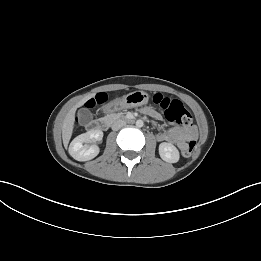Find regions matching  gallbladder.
<instances>
[{
    "instance_id": "1",
    "label": "gallbladder",
    "mask_w": 261,
    "mask_h": 261,
    "mask_svg": "<svg viewBox=\"0 0 261 261\" xmlns=\"http://www.w3.org/2000/svg\"><path fill=\"white\" fill-rule=\"evenodd\" d=\"M78 118L82 125H87L92 120V114L89 110L83 108L79 110Z\"/></svg>"
}]
</instances>
